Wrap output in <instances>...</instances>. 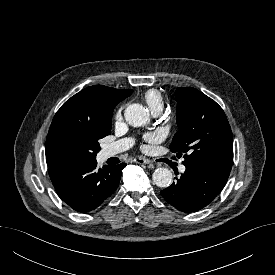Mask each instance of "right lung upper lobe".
I'll use <instances>...</instances> for the list:
<instances>
[{"instance_id":"obj_1","label":"right lung upper lobe","mask_w":275,"mask_h":275,"mask_svg":"<svg viewBox=\"0 0 275 275\" xmlns=\"http://www.w3.org/2000/svg\"><path fill=\"white\" fill-rule=\"evenodd\" d=\"M133 90L115 89L94 85L81 90L67 100L55 114L46 140V161L49 167L47 149L56 132L65 127L102 128L112 121L114 107L127 98Z\"/></svg>"}]
</instances>
